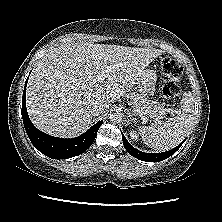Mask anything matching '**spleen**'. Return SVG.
Instances as JSON below:
<instances>
[{"mask_svg":"<svg viewBox=\"0 0 222 222\" xmlns=\"http://www.w3.org/2000/svg\"><path fill=\"white\" fill-rule=\"evenodd\" d=\"M194 121V99L191 92L182 96L180 107L160 126H144L139 129L146 145L157 151L176 147L188 134Z\"/></svg>","mask_w":222,"mask_h":222,"instance_id":"3e777b00","label":"spleen"}]
</instances>
